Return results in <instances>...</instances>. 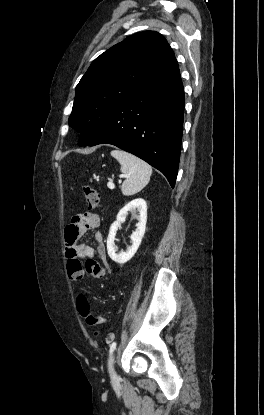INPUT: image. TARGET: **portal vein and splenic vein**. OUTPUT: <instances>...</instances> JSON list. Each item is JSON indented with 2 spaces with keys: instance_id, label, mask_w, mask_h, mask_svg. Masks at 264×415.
Wrapping results in <instances>:
<instances>
[{
  "instance_id": "18ae733b",
  "label": "portal vein and splenic vein",
  "mask_w": 264,
  "mask_h": 415,
  "mask_svg": "<svg viewBox=\"0 0 264 415\" xmlns=\"http://www.w3.org/2000/svg\"><path fill=\"white\" fill-rule=\"evenodd\" d=\"M107 186H108L109 189H114L115 188V185H114L113 182H108Z\"/></svg>"
}]
</instances>
